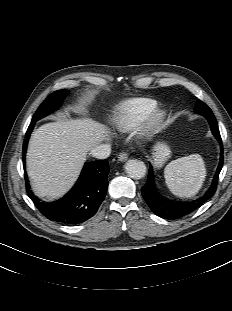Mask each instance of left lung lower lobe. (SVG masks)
<instances>
[{
	"label": "left lung lower lobe",
	"mask_w": 232,
	"mask_h": 311,
	"mask_svg": "<svg viewBox=\"0 0 232 311\" xmlns=\"http://www.w3.org/2000/svg\"><path fill=\"white\" fill-rule=\"evenodd\" d=\"M200 115H203L206 117L208 120L211 131L213 135L219 140V143L221 145V154H220V163L217 167L215 176L212 181L211 187L207 190L205 195L193 202H176V201H171L168 199H165L161 197L155 188V183H154V174H153V169L150 166L149 167V173H148V179L146 184L142 187L141 192L142 195L150 207V209L159 217H162L164 219H178L181 218L199 206H201L203 203H205L209 198H211L215 191L216 187L218 184V178H219V173L222 169L223 166V146H222V139L219 133L218 125L216 118L212 111L209 112H201L199 113Z\"/></svg>",
	"instance_id": "1"
}]
</instances>
